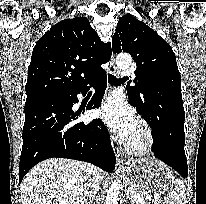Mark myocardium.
Instances as JSON below:
<instances>
[{"instance_id":"obj_1","label":"myocardium","mask_w":206,"mask_h":204,"mask_svg":"<svg viewBox=\"0 0 206 204\" xmlns=\"http://www.w3.org/2000/svg\"><path fill=\"white\" fill-rule=\"evenodd\" d=\"M136 122L140 131V138L138 140L128 138L125 143V149L132 155L149 154L154 149L156 142L154 131L145 119L139 117Z\"/></svg>"}]
</instances>
